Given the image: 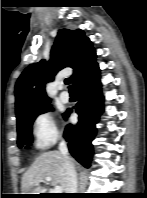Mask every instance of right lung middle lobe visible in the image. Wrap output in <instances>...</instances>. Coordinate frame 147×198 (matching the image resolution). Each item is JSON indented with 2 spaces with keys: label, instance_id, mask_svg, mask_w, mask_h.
Masks as SVG:
<instances>
[{
  "label": "right lung middle lobe",
  "instance_id": "1",
  "mask_svg": "<svg viewBox=\"0 0 147 198\" xmlns=\"http://www.w3.org/2000/svg\"><path fill=\"white\" fill-rule=\"evenodd\" d=\"M52 110L51 106H46L37 110L36 112L26 116L21 121L17 123V133H18V147L28 148V144L32 143V124L35 118L42 113ZM65 117V113H64Z\"/></svg>",
  "mask_w": 147,
  "mask_h": 198
}]
</instances>
